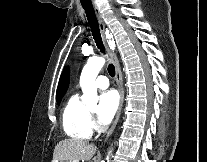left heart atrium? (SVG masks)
Masks as SVG:
<instances>
[{
	"label": "left heart atrium",
	"mask_w": 207,
	"mask_h": 162,
	"mask_svg": "<svg viewBox=\"0 0 207 162\" xmlns=\"http://www.w3.org/2000/svg\"><path fill=\"white\" fill-rule=\"evenodd\" d=\"M119 95L115 90H109L101 94L97 110L98 120L101 124H108L119 108Z\"/></svg>",
	"instance_id": "left-heart-atrium-1"
}]
</instances>
